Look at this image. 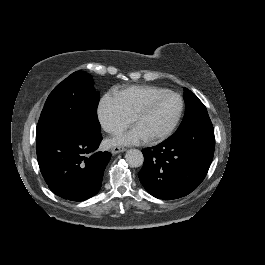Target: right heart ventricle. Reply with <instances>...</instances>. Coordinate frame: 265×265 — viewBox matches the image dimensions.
Returning a JSON list of instances; mask_svg holds the SVG:
<instances>
[{
  "instance_id": "obj_1",
  "label": "right heart ventricle",
  "mask_w": 265,
  "mask_h": 265,
  "mask_svg": "<svg viewBox=\"0 0 265 265\" xmlns=\"http://www.w3.org/2000/svg\"><path fill=\"white\" fill-rule=\"evenodd\" d=\"M158 89L160 88L147 85L128 86L119 90L115 98L127 114L134 116L144 100Z\"/></svg>"
}]
</instances>
